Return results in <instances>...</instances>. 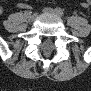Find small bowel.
<instances>
[{"label": "small bowel", "instance_id": "obj_1", "mask_svg": "<svg viewBox=\"0 0 91 91\" xmlns=\"http://www.w3.org/2000/svg\"><path fill=\"white\" fill-rule=\"evenodd\" d=\"M87 6H88V3H84V4H83V7H87Z\"/></svg>", "mask_w": 91, "mask_h": 91}]
</instances>
